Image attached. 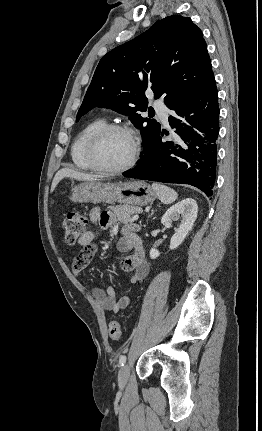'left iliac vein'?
<instances>
[{
	"mask_svg": "<svg viewBox=\"0 0 262 431\" xmlns=\"http://www.w3.org/2000/svg\"><path fill=\"white\" fill-rule=\"evenodd\" d=\"M129 376V367L127 364L123 365V367L120 368L118 373V382L120 386H125L128 381Z\"/></svg>",
	"mask_w": 262,
	"mask_h": 431,
	"instance_id": "left-iliac-vein-1",
	"label": "left iliac vein"
}]
</instances>
